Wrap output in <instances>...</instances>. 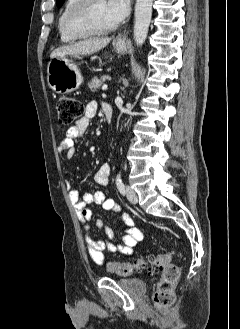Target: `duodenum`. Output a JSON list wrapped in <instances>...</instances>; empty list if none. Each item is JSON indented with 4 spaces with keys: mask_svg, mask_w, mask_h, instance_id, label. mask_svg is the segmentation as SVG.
<instances>
[{
    "mask_svg": "<svg viewBox=\"0 0 240 329\" xmlns=\"http://www.w3.org/2000/svg\"><path fill=\"white\" fill-rule=\"evenodd\" d=\"M103 112L105 114L106 120L108 123H111L113 119V109L109 103H104L103 106Z\"/></svg>",
    "mask_w": 240,
    "mask_h": 329,
    "instance_id": "duodenum-1",
    "label": "duodenum"
}]
</instances>
